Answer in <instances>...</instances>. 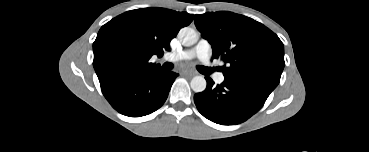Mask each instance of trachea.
Returning a JSON list of instances; mask_svg holds the SVG:
<instances>
[{"instance_id":"1","label":"trachea","mask_w":369,"mask_h":152,"mask_svg":"<svg viewBox=\"0 0 369 152\" xmlns=\"http://www.w3.org/2000/svg\"><path fill=\"white\" fill-rule=\"evenodd\" d=\"M163 66L166 69H173V64L169 63V62L164 63ZM197 69L201 73H209L210 72V70L208 68L204 67V66H197Z\"/></svg>"}]
</instances>
